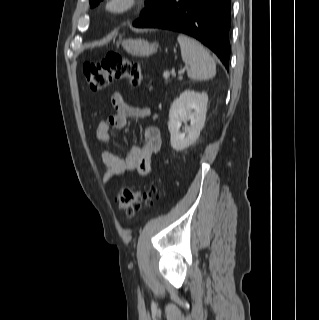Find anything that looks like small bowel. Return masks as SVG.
I'll return each mask as SVG.
<instances>
[{
    "label": "small bowel",
    "mask_w": 319,
    "mask_h": 320,
    "mask_svg": "<svg viewBox=\"0 0 319 320\" xmlns=\"http://www.w3.org/2000/svg\"><path fill=\"white\" fill-rule=\"evenodd\" d=\"M111 104L115 112L110 114L106 121L99 122L96 127V136L103 143H112V132L125 128L130 118L145 119L151 115L149 107L130 105L118 92L111 96ZM160 147L161 133L159 128L149 126L144 131L143 145L132 146L123 156L109 150L101 151L99 157L106 167L102 183L106 184L111 179L133 170H136L140 175H148L151 171L152 160Z\"/></svg>",
    "instance_id": "1"
}]
</instances>
